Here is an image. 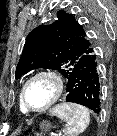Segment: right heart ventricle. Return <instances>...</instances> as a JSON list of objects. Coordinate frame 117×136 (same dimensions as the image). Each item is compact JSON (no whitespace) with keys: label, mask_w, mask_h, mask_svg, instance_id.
I'll return each mask as SVG.
<instances>
[{"label":"right heart ventricle","mask_w":117,"mask_h":136,"mask_svg":"<svg viewBox=\"0 0 117 136\" xmlns=\"http://www.w3.org/2000/svg\"><path fill=\"white\" fill-rule=\"evenodd\" d=\"M18 104H19V109H20V111L23 112V113H26V110L24 109V107H23V105H22V103H21V98H20V96H19Z\"/></svg>","instance_id":"1"}]
</instances>
